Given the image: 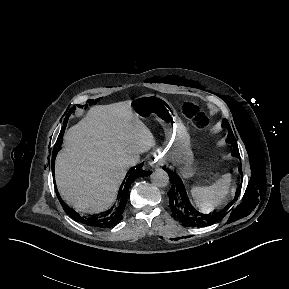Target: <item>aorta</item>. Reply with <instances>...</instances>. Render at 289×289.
<instances>
[{"label": "aorta", "mask_w": 289, "mask_h": 289, "mask_svg": "<svg viewBox=\"0 0 289 289\" xmlns=\"http://www.w3.org/2000/svg\"><path fill=\"white\" fill-rule=\"evenodd\" d=\"M151 183L156 187H165L169 183L168 173L159 168L150 175Z\"/></svg>", "instance_id": "aorta-1"}]
</instances>
